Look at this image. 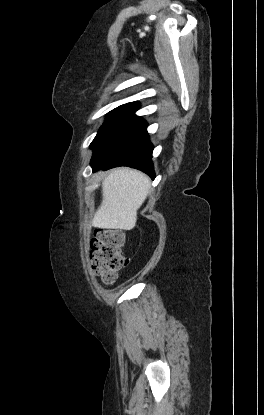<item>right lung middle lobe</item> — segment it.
I'll return each instance as SVG.
<instances>
[{
    "instance_id": "dd1d6c3e",
    "label": "right lung middle lobe",
    "mask_w": 264,
    "mask_h": 415,
    "mask_svg": "<svg viewBox=\"0 0 264 415\" xmlns=\"http://www.w3.org/2000/svg\"><path fill=\"white\" fill-rule=\"evenodd\" d=\"M138 102L121 105L108 113L107 119L91 143V147L121 118L138 107Z\"/></svg>"
}]
</instances>
